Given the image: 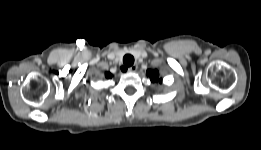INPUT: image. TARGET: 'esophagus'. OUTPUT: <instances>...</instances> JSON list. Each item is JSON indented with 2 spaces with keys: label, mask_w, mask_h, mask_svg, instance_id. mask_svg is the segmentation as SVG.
Here are the masks:
<instances>
[{
  "label": "esophagus",
  "mask_w": 261,
  "mask_h": 150,
  "mask_svg": "<svg viewBox=\"0 0 261 150\" xmlns=\"http://www.w3.org/2000/svg\"><path fill=\"white\" fill-rule=\"evenodd\" d=\"M136 70H137V65H135V64L128 68L129 72H135Z\"/></svg>",
  "instance_id": "34e87169"
}]
</instances>
